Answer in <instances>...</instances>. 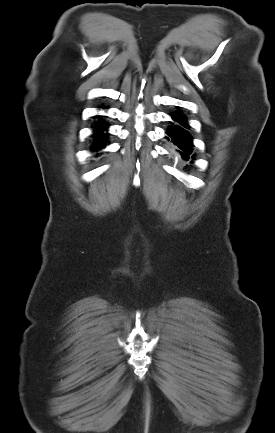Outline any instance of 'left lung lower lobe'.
Listing matches in <instances>:
<instances>
[{
  "label": "left lung lower lobe",
  "instance_id": "1",
  "mask_svg": "<svg viewBox=\"0 0 275 433\" xmlns=\"http://www.w3.org/2000/svg\"><path fill=\"white\" fill-rule=\"evenodd\" d=\"M171 117L175 123H171L172 125L166 131L171 153L179 161L189 166L194 162L195 154L187 118L181 112L173 113Z\"/></svg>",
  "mask_w": 275,
  "mask_h": 433
}]
</instances>
